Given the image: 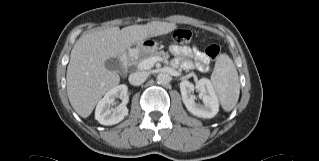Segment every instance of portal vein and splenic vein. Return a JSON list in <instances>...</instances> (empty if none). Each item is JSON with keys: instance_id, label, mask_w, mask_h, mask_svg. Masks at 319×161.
<instances>
[{"instance_id": "1", "label": "portal vein and splenic vein", "mask_w": 319, "mask_h": 161, "mask_svg": "<svg viewBox=\"0 0 319 161\" xmlns=\"http://www.w3.org/2000/svg\"><path fill=\"white\" fill-rule=\"evenodd\" d=\"M161 60H162L161 57H150V58L145 59L144 61H142L138 65V68L141 69V70L151 69L157 61H161Z\"/></svg>"}]
</instances>
